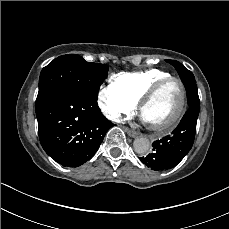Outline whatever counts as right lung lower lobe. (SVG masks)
Wrapping results in <instances>:
<instances>
[{
  "label": "right lung lower lobe",
  "instance_id": "98d812e1",
  "mask_svg": "<svg viewBox=\"0 0 229 229\" xmlns=\"http://www.w3.org/2000/svg\"><path fill=\"white\" fill-rule=\"evenodd\" d=\"M35 108L40 143L63 166L90 160L114 125L101 114L96 98L74 87L53 91Z\"/></svg>",
  "mask_w": 229,
  "mask_h": 229
}]
</instances>
